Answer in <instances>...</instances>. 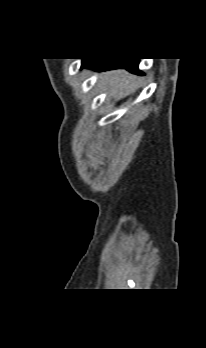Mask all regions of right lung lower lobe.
<instances>
[{"mask_svg":"<svg viewBox=\"0 0 206 348\" xmlns=\"http://www.w3.org/2000/svg\"><path fill=\"white\" fill-rule=\"evenodd\" d=\"M138 59H84L82 62L83 67L94 68L95 70H110L117 68H124L130 72L143 75L138 70Z\"/></svg>","mask_w":206,"mask_h":348,"instance_id":"1","label":"right lung lower lobe"}]
</instances>
